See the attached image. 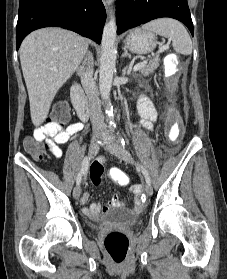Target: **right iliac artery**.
Returning a JSON list of instances; mask_svg holds the SVG:
<instances>
[{"label":"right iliac artery","mask_w":227,"mask_h":279,"mask_svg":"<svg viewBox=\"0 0 227 279\" xmlns=\"http://www.w3.org/2000/svg\"><path fill=\"white\" fill-rule=\"evenodd\" d=\"M89 167V158L85 157L83 160V164H82V168L79 171L78 175H77V179H76V184L79 186L82 180V177L87 173Z\"/></svg>","instance_id":"82829eb1"}]
</instances>
